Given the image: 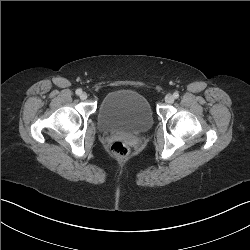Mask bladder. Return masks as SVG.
<instances>
[{"label": "bladder", "instance_id": "bladder-1", "mask_svg": "<svg viewBox=\"0 0 250 250\" xmlns=\"http://www.w3.org/2000/svg\"><path fill=\"white\" fill-rule=\"evenodd\" d=\"M97 119L100 130L112 133L140 134L153 124L147 98L129 89L106 94L99 105Z\"/></svg>", "mask_w": 250, "mask_h": 250}]
</instances>
